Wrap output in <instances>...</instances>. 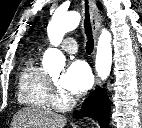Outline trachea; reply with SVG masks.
<instances>
[{
	"mask_svg": "<svg viewBox=\"0 0 142 128\" xmlns=\"http://www.w3.org/2000/svg\"><path fill=\"white\" fill-rule=\"evenodd\" d=\"M88 0H85V20H84V28L85 33L87 35L88 41L86 43V52L91 54L94 47L93 35H92V28L90 24V16L88 12Z\"/></svg>",
	"mask_w": 142,
	"mask_h": 128,
	"instance_id": "3493384b",
	"label": "trachea"
}]
</instances>
